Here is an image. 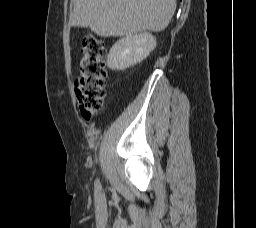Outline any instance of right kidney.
Here are the masks:
<instances>
[{
  "label": "right kidney",
  "mask_w": 256,
  "mask_h": 228,
  "mask_svg": "<svg viewBox=\"0 0 256 228\" xmlns=\"http://www.w3.org/2000/svg\"><path fill=\"white\" fill-rule=\"evenodd\" d=\"M156 47V38L147 32L129 35L118 40L107 56L112 70H125L145 59Z\"/></svg>",
  "instance_id": "obj_1"
}]
</instances>
